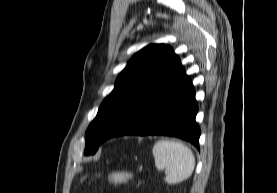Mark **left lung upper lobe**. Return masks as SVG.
Masks as SVG:
<instances>
[{"label":"left lung upper lobe","instance_id":"1","mask_svg":"<svg viewBox=\"0 0 277 193\" xmlns=\"http://www.w3.org/2000/svg\"><path fill=\"white\" fill-rule=\"evenodd\" d=\"M182 68L179 57L165 44H150L136 53L118 75L114 90L89 125L84 154H94L108 130L134 102Z\"/></svg>","mask_w":277,"mask_h":193}]
</instances>
